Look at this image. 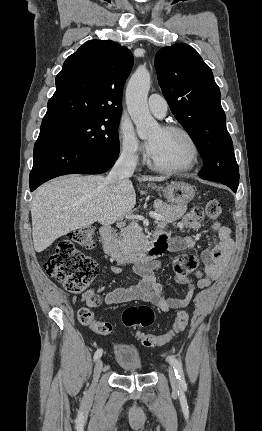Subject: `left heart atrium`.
Listing matches in <instances>:
<instances>
[{
  "mask_svg": "<svg viewBox=\"0 0 262 431\" xmlns=\"http://www.w3.org/2000/svg\"><path fill=\"white\" fill-rule=\"evenodd\" d=\"M147 149H148L149 154H151L153 152V150H154V142L153 141L147 142Z\"/></svg>",
  "mask_w": 262,
  "mask_h": 431,
  "instance_id": "left-heart-atrium-1",
  "label": "left heart atrium"
}]
</instances>
